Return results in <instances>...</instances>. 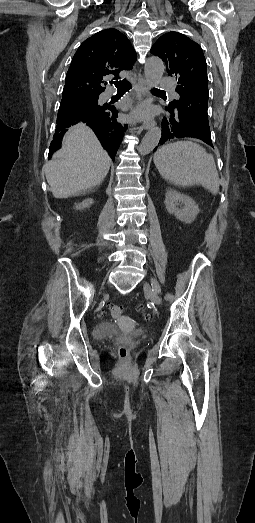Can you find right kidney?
Here are the masks:
<instances>
[{
  "label": "right kidney",
  "instance_id": "1",
  "mask_svg": "<svg viewBox=\"0 0 255 523\" xmlns=\"http://www.w3.org/2000/svg\"><path fill=\"white\" fill-rule=\"evenodd\" d=\"M94 204L93 200L91 198H87V200H84V202H81V204H77L75 206L76 210H83V208H90Z\"/></svg>",
  "mask_w": 255,
  "mask_h": 523
}]
</instances>
